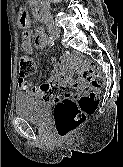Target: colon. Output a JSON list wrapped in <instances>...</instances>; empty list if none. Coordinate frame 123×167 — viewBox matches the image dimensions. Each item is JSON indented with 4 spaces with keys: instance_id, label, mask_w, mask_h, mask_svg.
Returning a JSON list of instances; mask_svg holds the SVG:
<instances>
[{
    "instance_id": "obj_1",
    "label": "colon",
    "mask_w": 123,
    "mask_h": 167,
    "mask_svg": "<svg viewBox=\"0 0 123 167\" xmlns=\"http://www.w3.org/2000/svg\"><path fill=\"white\" fill-rule=\"evenodd\" d=\"M36 70L35 60L24 54L19 59V75L28 77ZM83 76L95 88H100L104 84V78L98 67L89 63L82 68ZM99 102L98 96L91 92L82 95L77 102L66 98L57 102L54 108V125L60 138H67L77 130L85 121V118L93 114Z\"/></svg>"
}]
</instances>
